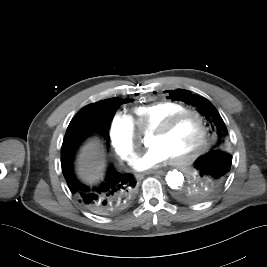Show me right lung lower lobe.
<instances>
[{"label": "right lung lower lobe", "mask_w": 267, "mask_h": 267, "mask_svg": "<svg viewBox=\"0 0 267 267\" xmlns=\"http://www.w3.org/2000/svg\"><path fill=\"white\" fill-rule=\"evenodd\" d=\"M113 117L102 107H84L70 122L61 149V166L70 191L90 210L101 215H113L126 209L133 201L136 180L132 174L120 173L112 165L99 184L89 186L77 179L73 172L76 150L86 135L97 132L104 136Z\"/></svg>", "instance_id": "right-lung-lower-lobe-1"}]
</instances>
